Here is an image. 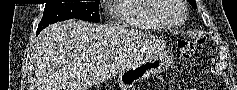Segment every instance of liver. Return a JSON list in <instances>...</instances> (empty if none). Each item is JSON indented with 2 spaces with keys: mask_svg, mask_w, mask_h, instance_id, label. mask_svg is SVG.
<instances>
[{
  "mask_svg": "<svg viewBox=\"0 0 237 90\" xmlns=\"http://www.w3.org/2000/svg\"><path fill=\"white\" fill-rule=\"evenodd\" d=\"M120 32L82 20L52 24L38 38L39 90H88L119 70Z\"/></svg>",
  "mask_w": 237,
  "mask_h": 90,
  "instance_id": "obj_1",
  "label": "liver"
}]
</instances>
